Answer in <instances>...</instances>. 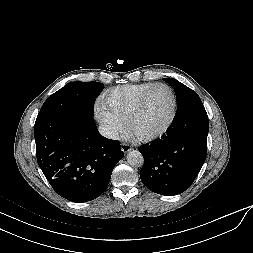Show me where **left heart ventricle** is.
<instances>
[{
  "label": "left heart ventricle",
  "mask_w": 253,
  "mask_h": 253,
  "mask_svg": "<svg viewBox=\"0 0 253 253\" xmlns=\"http://www.w3.org/2000/svg\"><path fill=\"white\" fill-rule=\"evenodd\" d=\"M173 101L165 87L153 89L146 98L141 113L132 125L136 134L153 133L163 128L172 114Z\"/></svg>",
  "instance_id": "b2bd125f"
}]
</instances>
